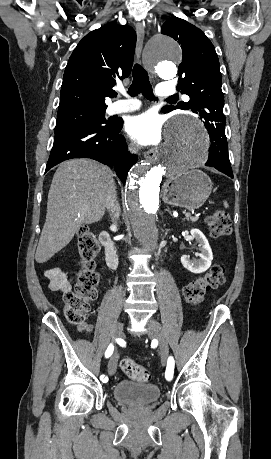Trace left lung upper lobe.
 <instances>
[{
    "label": "left lung upper lobe",
    "instance_id": "1",
    "mask_svg": "<svg viewBox=\"0 0 271 459\" xmlns=\"http://www.w3.org/2000/svg\"><path fill=\"white\" fill-rule=\"evenodd\" d=\"M161 33L181 44L183 58L177 89L190 97L189 102L166 106L162 112L180 108L199 113L202 120L225 117L219 59L211 41L199 28L175 16L165 21Z\"/></svg>",
    "mask_w": 271,
    "mask_h": 459
}]
</instances>
